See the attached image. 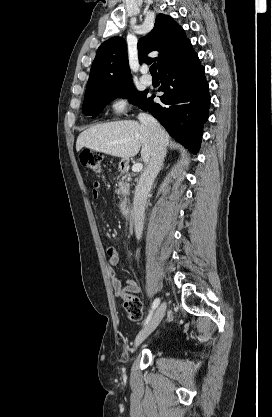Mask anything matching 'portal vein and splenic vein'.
Masks as SVG:
<instances>
[{
  "mask_svg": "<svg viewBox=\"0 0 272 417\" xmlns=\"http://www.w3.org/2000/svg\"><path fill=\"white\" fill-rule=\"evenodd\" d=\"M143 168V165L141 163H136L132 166V171L137 173L140 172Z\"/></svg>",
  "mask_w": 272,
  "mask_h": 417,
  "instance_id": "portal-vein-and-splenic-vein-1",
  "label": "portal vein and splenic vein"
}]
</instances>
